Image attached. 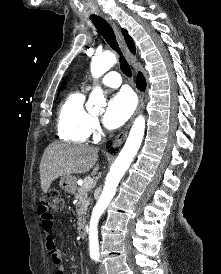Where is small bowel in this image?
Instances as JSON below:
<instances>
[{
	"instance_id": "1",
	"label": "small bowel",
	"mask_w": 221,
	"mask_h": 274,
	"mask_svg": "<svg viewBox=\"0 0 221 274\" xmlns=\"http://www.w3.org/2000/svg\"><path fill=\"white\" fill-rule=\"evenodd\" d=\"M38 213L40 217L41 228L45 238V245L52 259V262L57 266L54 274H65V268L63 266V255L56 245L53 236V223L54 215L50 211L49 207L40 204L38 206Z\"/></svg>"
}]
</instances>
